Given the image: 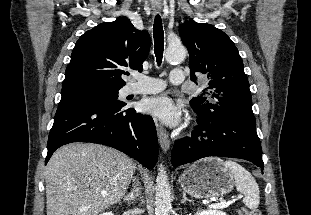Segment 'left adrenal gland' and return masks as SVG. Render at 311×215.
Wrapping results in <instances>:
<instances>
[{"label":"left adrenal gland","mask_w":311,"mask_h":215,"mask_svg":"<svg viewBox=\"0 0 311 215\" xmlns=\"http://www.w3.org/2000/svg\"><path fill=\"white\" fill-rule=\"evenodd\" d=\"M186 201L191 202V203L193 202L192 200L188 199L186 197V194L183 192V199L181 200V203H185Z\"/></svg>","instance_id":"left-adrenal-gland-1"}]
</instances>
